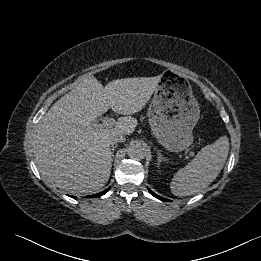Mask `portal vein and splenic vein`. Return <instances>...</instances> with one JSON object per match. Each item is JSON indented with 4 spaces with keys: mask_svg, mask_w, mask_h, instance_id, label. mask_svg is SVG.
Listing matches in <instances>:
<instances>
[{
    "mask_svg": "<svg viewBox=\"0 0 261 261\" xmlns=\"http://www.w3.org/2000/svg\"><path fill=\"white\" fill-rule=\"evenodd\" d=\"M116 121L113 118H107L103 121L102 124H100V127H113L115 125ZM188 155L193 157L195 153L193 151H187Z\"/></svg>",
    "mask_w": 261,
    "mask_h": 261,
    "instance_id": "portal-vein-and-splenic-vein-1",
    "label": "portal vein and splenic vein"
}]
</instances>
